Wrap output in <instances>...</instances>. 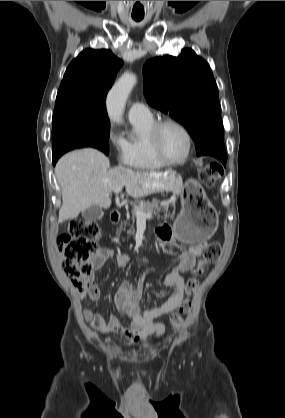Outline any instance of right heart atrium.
Returning <instances> with one entry per match:
<instances>
[{
    "label": "right heart atrium",
    "instance_id": "d8ad5b80",
    "mask_svg": "<svg viewBox=\"0 0 285 418\" xmlns=\"http://www.w3.org/2000/svg\"><path fill=\"white\" fill-rule=\"evenodd\" d=\"M107 143L110 149L115 153L117 162L122 165L129 164L128 150L124 140L113 129L108 128L106 133Z\"/></svg>",
    "mask_w": 285,
    "mask_h": 418
}]
</instances>
